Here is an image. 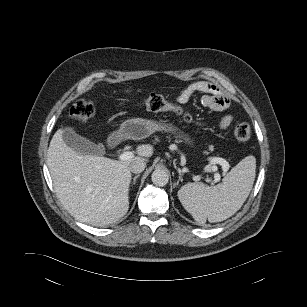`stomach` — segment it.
Instances as JSON below:
<instances>
[{"label": "stomach", "instance_id": "obj_1", "mask_svg": "<svg viewBox=\"0 0 307 307\" xmlns=\"http://www.w3.org/2000/svg\"><path fill=\"white\" fill-rule=\"evenodd\" d=\"M156 131H165L176 133L177 129L171 124L164 123L163 121H156L151 119L133 118L124 121L117 135L120 138L140 140L146 138ZM182 141L192 145V140L183 134L178 135Z\"/></svg>", "mask_w": 307, "mask_h": 307}]
</instances>
